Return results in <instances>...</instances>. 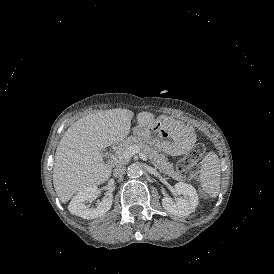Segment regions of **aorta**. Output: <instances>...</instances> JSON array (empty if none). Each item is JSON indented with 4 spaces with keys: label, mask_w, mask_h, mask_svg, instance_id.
Listing matches in <instances>:
<instances>
[{
    "label": "aorta",
    "mask_w": 274,
    "mask_h": 274,
    "mask_svg": "<svg viewBox=\"0 0 274 274\" xmlns=\"http://www.w3.org/2000/svg\"><path fill=\"white\" fill-rule=\"evenodd\" d=\"M142 169L137 163H133L128 167V176L131 178H136L141 176Z\"/></svg>",
    "instance_id": "obj_1"
}]
</instances>
